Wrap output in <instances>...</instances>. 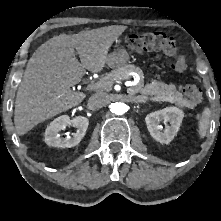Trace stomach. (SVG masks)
<instances>
[{"label":"stomach","instance_id":"0dacf381","mask_svg":"<svg viewBox=\"0 0 221 221\" xmlns=\"http://www.w3.org/2000/svg\"><path fill=\"white\" fill-rule=\"evenodd\" d=\"M129 61V54L127 50L119 45L117 51L108 55L107 65L111 68H120L126 65Z\"/></svg>","mask_w":221,"mask_h":221}]
</instances>
